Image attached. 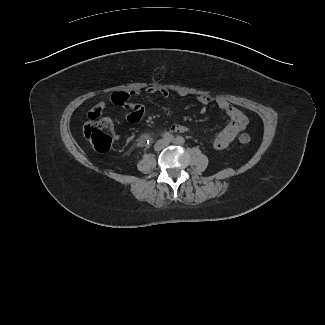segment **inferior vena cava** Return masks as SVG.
Segmentation results:
<instances>
[{
	"mask_svg": "<svg viewBox=\"0 0 325 325\" xmlns=\"http://www.w3.org/2000/svg\"><path fill=\"white\" fill-rule=\"evenodd\" d=\"M166 144H162V146L161 147H163V146H165ZM158 149H160L159 147H158Z\"/></svg>",
	"mask_w": 325,
	"mask_h": 325,
	"instance_id": "inferior-vena-cava-1",
	"label": "inferior vena cava"
}]
</instances>
